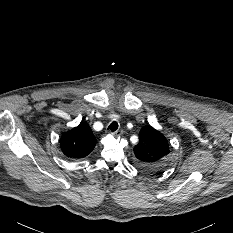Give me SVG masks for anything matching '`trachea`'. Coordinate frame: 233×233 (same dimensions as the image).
<instances>
[{
	"mask_svg": "<svg viewBox=\"0 0 233 233\" xmlns=\"http://www.w3.org/2000/svg\"><path fill=\"white\" fill-rule=\"evenodd\" d=\"M108 129H110L112 132L116 131V130L118 129V123H117L116 121H113V122L109 125Z\"/></svg>",
	"mask_w": 233,
	"mask_h": 233,
	"instance_id": "1",
	"label": "trachea"
}]
</instances>
